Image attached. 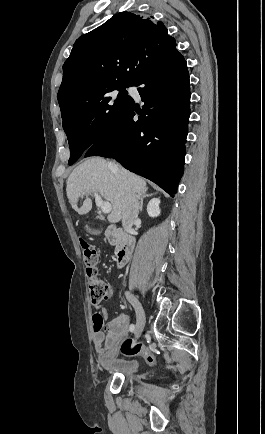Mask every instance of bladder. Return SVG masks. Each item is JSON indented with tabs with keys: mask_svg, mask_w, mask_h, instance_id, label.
I'll return each mask as SVG.
<instances>
[{
	"mask_svg": "<svg viewBox=\"0 0 265 434\" xmlns=\"http://www.w3.org/2000/svg\"><path fill=\"white\" fill-rule=\"evenodd\" d=\"M114 369L126 377H132L139 371L140 364L137 361L120 362L115 365Z\"/></svg>",
	"mask_w": 265,
	"mask_h": 434,
	"instance_id": "bladder-1",
	"label": "bladder"
}]
</instances>
